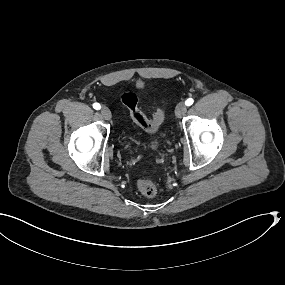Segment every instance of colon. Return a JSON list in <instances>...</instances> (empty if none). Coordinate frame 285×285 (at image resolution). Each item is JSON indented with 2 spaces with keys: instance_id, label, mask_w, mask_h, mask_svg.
I'll list each match as a JSON object with an SVG mask.
<instances>
[{
  "instance_id": "5ec220e1",
  "label": "colon",
  "mask_w": 285,
  "mask_h": 285,
  "mask_svg": "<svg viewBox=\"0 0 285 285\" xmlns=\"http://www.w3.org/2000/svg\"><path fill=\"white\" fill-rule=\"evenodd\" d=\"M122 104L128 108L132 120L141 128L149 132L157 131L164 122L165 115L157 110L152 119H148L138 108V98L134 93L127 92L121 95ZM139 191L147 197H154L158 192L157 184L153 180L140 179L137 182Z\"/></svg>"
}]
</instances>
